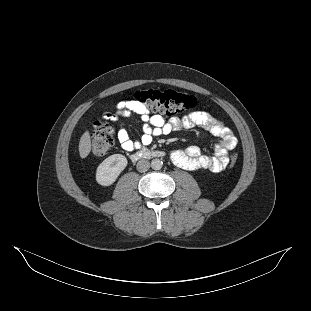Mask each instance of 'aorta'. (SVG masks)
<instances>
[{
	"label": "aorta",
	"mask_w": 311,
	"mask_h": 311,
	"mask_svg": "<svg viewBox=\"0 0 311 311\" xmlns=\"http://www.w3.org/2000/svg\"><path fill=\"white\" fill-rule=\"evenodd\" d=\"M162 166H163V162L158 158H155L151 161V167L154 170H160Z\"/></svg>",
	"instance_id": "obj_1"
}]
</instances>
